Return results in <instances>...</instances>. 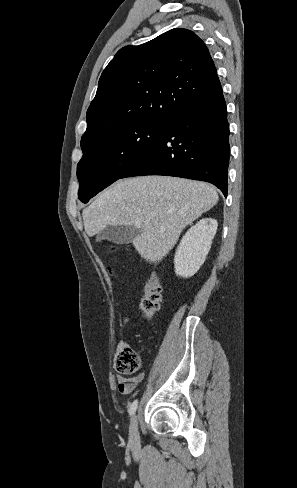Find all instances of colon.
<instances>
[{
  "mask_svg": "<svg viewBox=\"0 0 297 488\" xmlns=\"http://www.w3.org/2000/svg\"><path fill=\"white\" fill-rule=\"evenodd\" d=\"M161 289L152 277L145 286V293L140 307L146 319H151L159 310ZM115 368L124 375L136 373L140 368V359L127 343H120L115 354Z\"/></svg>",
  "mask_w": 297,
  "mask_h": 488,
  "instance_id": "obj_1",
  "label": "colon"
}]
</instances>
